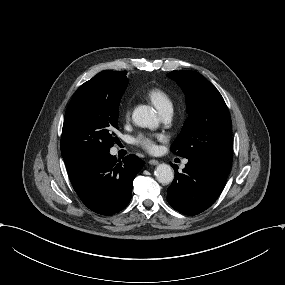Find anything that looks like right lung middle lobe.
<instances>
[{
  "mask_svg": "<svg viewBox=\"0 0 285 285\" xmlns=\"http://www.w3.org/2000/svg\"><path fill=\"white\" fill-rule=\"evenodd\" d=\"M128 81L103 88L81 85L74 94L65 115L61 137V154L65 162H80L107 154L118 143L120 99Z\"/></svg>",
  "mask_w": 285,
  "mask_h": 285,
  "instance_id": "right-lung-middle-lobe-1",
  "label": "right lung middle lobe"
}]
</instances>
